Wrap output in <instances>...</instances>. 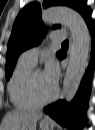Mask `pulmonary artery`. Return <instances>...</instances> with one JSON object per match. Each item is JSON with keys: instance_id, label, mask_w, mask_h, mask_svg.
I'll list each match as a JSON object with an SVG mask.
<instances>
[{"instance_id": "pulmonary-artery-1", "label": "pulmonary artery", "mask_w": 95, "mask_h": 130, "mask_svg": "<svg viewBox=\"0 0 95 130\" xmlns=\"http://www.w3.org/2000/svg\"><path fill=\"white\" fill-rule=\"evenodd\" d=\"M47 39L53 43H59L64 39V32L60 30L51 32L48 34ZM39 50L40 46L29 48L21 54L20 59L27 63L35 65L37 62Z\"/></svg>"}]
</instances>
